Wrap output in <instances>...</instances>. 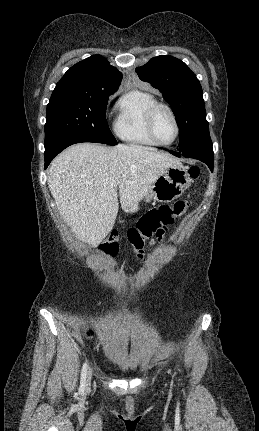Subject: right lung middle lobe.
I'll list each match as a JSON object with an SVG mask.
<instances>
[{"label": "right lung middle lobe", "instance_id": "right-lung-middle-lobe-1", "mask_svg": "<svg viewBox=\"0 0 259 431\" xmlns=\"http://www.w3.org/2000/svg\"><path fill=\"white\" fill-rule=\"evenodd\" d=\"M112 93L53 92L47 105L45 145L69 136L116 145L106 121V106Z\"/></svg>", "mask_w": 259, "mask_h": 431}]
</instances>
